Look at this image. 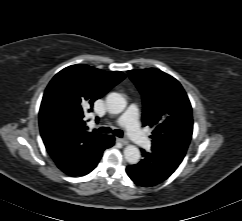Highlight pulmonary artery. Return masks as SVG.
<instances>
[{
    "instance_id": "e3ab8cb5",
    "label": "pulmonary artery",
    "mask_w": 242,
    "mask_h": 221,
    "mask_svg": "<svg viewBox=\"0 0 242 221\" xmlns=\"http://www.w3.org/2000/svg\"><path fill=\"white\" fill-rule=\"evenodd\" d=\"M116 123L125 126L132 140L142 148H148L150 141L141 131L138 124V109L135 105H131L127 111L120 116Z\"/></svg>"
}]
</instances>
